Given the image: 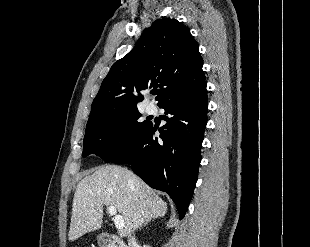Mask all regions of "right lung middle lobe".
<instances>
[{
    "label": "right lung middle lobe",
    "mask_w": 310,
    "mask_h": 247,
    "mask_svg": "<svg viewBox=\"0 0 310 247\" xmlns=\"http://www.w3.org/2000/svg\"><path fill=\"white\" fill-rule=\"evenodd\" d=\"M139 117L138 109H132L87 123L83 156L94 153L108 163L126 152L150 124L138 122Z\"/></svg>",
    "instance_id": "obj_1"
}]
</instances>
